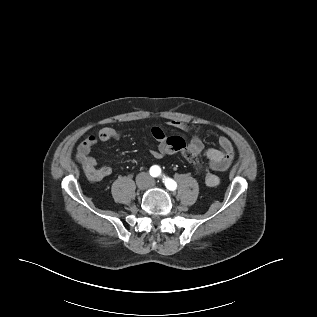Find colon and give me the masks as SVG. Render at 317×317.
<instances>
[{
    "mask_svg": "<svg viewBox=\"0 0 317 317\" xmlns=\"http://www.w3.org/2000/svg\"><path fill=\"white\" fill-rule=\"evenodd\" d=\"M173 142H176L175 139H172V138H168L166 140V143L167 144H172ZM175 150H178L177 152H180L182 153L186 158L187 160L189 161V163L195 168V170H198L199 168V164H198V160H197V157L189 154L186 150H180L179 147H175ZM88 174V172H87ZM89 175V174H88Z\"/></svg>",
    "mask_w": 317,
    "mask_h": 317,
    "instance_id": "5ec220e1",
    "label": "colon"
}]
</instances>
